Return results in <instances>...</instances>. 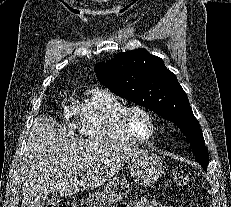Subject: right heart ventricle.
Listing matches in <instances>:
<instances>
[{
  "label": "right heart ventricle",
  "instance_id": "e07e8e85",
  "mask_svg": "<svg viewBox=\"0 0 231 207\" xmlns=\"http://www.w3.org/2000/svg\"><path fill=\"white\" fill-rule=\"evenodd\" d=\"M124 103L104 87L93 88L89 95L73 107L74 126L85 138L99 142H134L119 123Z\"/></svg>",
  "mask_w": 231,
  "mask_h": 207
}]
</instances>
